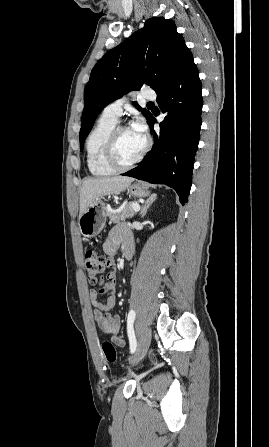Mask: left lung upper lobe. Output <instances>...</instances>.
I'll return each instance as SVG.
<instances>
[{
	"mask_svg": "<svg viewBox=\"0 0 269 447\" xmlns=\"http://www.w3.org/2000/svg\"><path fill=\"white\" fill-rule=\"evenodd\" d=\"M184 38L172 20L151 18L142 29L107 52L94 66L84 91V110L79 133L80 149L99 113L128 91L150 86L159 92L177 68ZM148 120L151 113L133 102Z\"/></svg>",
	"mask_w": 269,
	"mask_h": 447,
	"instance_id": "left-lung-upper-lobe-1",
	"label": "left lung upper lobe"
}]
</instances>
